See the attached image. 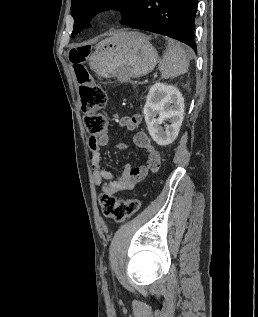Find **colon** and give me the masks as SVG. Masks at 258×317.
<instances>
[{"label":"colon","instance_id":"obj_1","mask_svg":"<svg viewBox=\"0 0 258 317\" xmlns=\"http://www.w3.org/2000/svg\"><path fill=\"white\" fill-rule=\"evenodd\" d=\"M88 53L89 49L86 47L75 48L70 51L69 58L73 64L79 87L85 127L91 135H102L106 130L102 110L105 107L107 96L104 89L92 80L84 66ZM99 205L106 217L122 222L140 209L141 201L135 198L117 199L112 195L102 193L99 196Z\"/></svg>","mask_w":258,"mask_h":317}]
</instances>
